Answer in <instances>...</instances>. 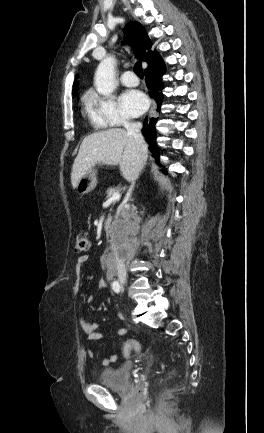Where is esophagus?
<instances>
[{"label":"esophagus","instance_id":"obj_1","mask_svg":"<svg viewBox=\"0 0 264 433\" xmlns=\"http://www.w3.org/2000/svg\"><path fill=\"white\" fill-rule=\"evenodd\" d=\"M156 109V102L153 100L152 101V107H151V113L154 112Z\"/></svg>","mask_w":264,"mask_h":433}]
</instances>
